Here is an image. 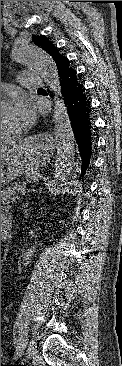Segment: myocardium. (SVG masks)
Listing matches in <instances>:
<instances>
[{
  "label": "myocardium",
  "mask_w": 122,
  "mask_h": 366,
  "mask_svg": "<svg viewBox=\"0 0 122 366\" xmlns=\"http://www.w3.org/2000/svg\"><path fill=\"white\" fill-rule=\"evenodd\" d=\"M7 105V100L4 98H1V107L6 106ZM15 136H11V137H5V138H1V144H10L13 143L15 140Z\"/></svg>",
  "instance_id": "obj_1"
}]
</instances>
